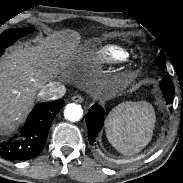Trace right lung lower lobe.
Instances as JSON below:
<instances>
[{
	"label": "right lung lower lobe",
	"instance_id": "right-lung-lower-lobe-1",
	"mask_svg": "<svg viewBox=\"0 0 183 183\" xmlns=\"http://www.w3.org/2000/svg\"><path fill=\"white\" fill-rule=\"evenodd\" d=\"M64 104L63 100L37 103L20 130L22 139L0 140V156L7 160H27L37 156L44 148L54 117Z\"/></svg>",
	"mask_w": 183,
	"mask_h": 183
}]
</instances>
